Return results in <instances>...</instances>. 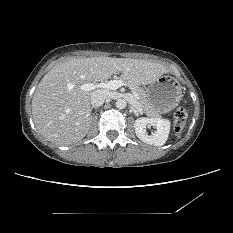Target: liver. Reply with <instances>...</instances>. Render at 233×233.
Returning a JSON list of instances; mask_svg holds the SVG:
<instances>
[{"mask_svg": "<svg viewBox=\"0 0 233 233\" xmlns=\"http://www.w3.org/2000/svg\"><path fill=\"white\" fill-rule=\"evenodd\" d=\"M117 72L125 81L148 85L168 69L158 62L112 57L73 58L55 65L41 79L32 99V116L40 134L59 145L83 139L91 124L93 92L81 86L107 80Z\"/></svg>", "mask_w": 233, "mask_h": 233, "instance_id": "obj_1", "label": "liver"}]
</instances>
